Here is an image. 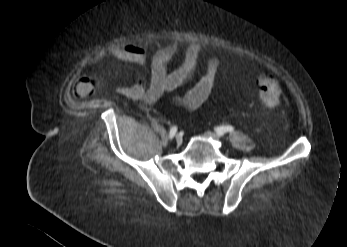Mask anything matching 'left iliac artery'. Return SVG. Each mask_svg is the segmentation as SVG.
<instances>
[{"instance_id": "obj_1", "label": "left iliac artery", "mask_w": 347, "mask_h": 247, "mask_svg": "<svg viewBox=\"0 0 347 247\" xmlns=\"http://www.w3.org/2000/svg\"><path fill=\"white\" fill-rule=\"evenodd\" d=\"M215 130L218 135H223L226 132H233L234 128L232 126H221L217 127Z\"/></svg>"}]
</instances>
